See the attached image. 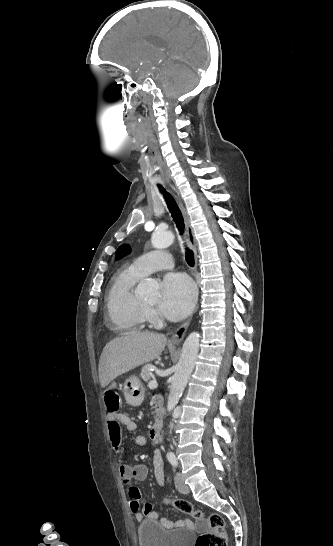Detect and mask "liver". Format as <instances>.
I'll use <instances>...</instances> for the list:
<instances>
[{"instance_id": "liver-1", "label": "liver", "mask_w": 333, "mask_h": 546, "mask_svg": "<svg viewBox=\"0 0 333 546\" xmlns=\"http://www.w3.org/2000/svg\"><path fill=\"white\" fill-rule=\"evenodd\" d=\"M166 342L164 335L135 332L111 340L99 360L101 386L104 388L117 376L156 359Z\"/></svg>"}]
</instances>
